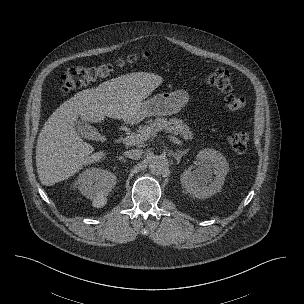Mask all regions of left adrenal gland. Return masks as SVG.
I'll return each mask as SVG.
<instances>
[{"instance_id":"a2214340","label":"left adrenal gland","mask_w":304,"mask_h":304,"mask_svg":"<svg viewBox=\"0 0 304 304\" xmlns=\"http://www.w3.org/2000/svg\"><path fill=\"white\" fill-rule=\"evenodd\" d=\"M188 151H189V149H185L184 151L177 150V152L176 153H172V155L177 160V163H179L180 160H181V158L183 157V155L187 154Z\"/></svg>"}]
</instances>
